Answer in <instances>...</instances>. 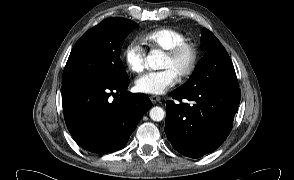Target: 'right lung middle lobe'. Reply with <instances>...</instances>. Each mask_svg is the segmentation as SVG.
Returning <instances> with one entry per match:
<instances>
[{
  "label": "right lung middle lobe",
  "instance_id": "dd1d6c3e",
  "mask_svg": "<svg viewBox=\"0 0 294 180\" xmlns=\"http://www.w3.org/2000/svg\"><path fill=\"white\" fill-rule=\"evenodd\" d=\"M135 26L131 20L114 17L88 30L69 55L62 85L85 80L105 83L129 80L119 55L124 39Z\"/></svg>",
  "mask_w": 294,
  "mask_h": 180
}]
</instances>
